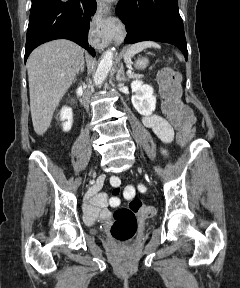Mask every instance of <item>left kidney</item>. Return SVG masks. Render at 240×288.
<instances>
[{
	"instance_id": "left-kidney-1",
	"label": "left kidney",
	"mask_w": 240,
	"mask_h": 288,
	"mask_svg": "<svg viewBox=\"0 0 240 288\" xmlns=\"http://www.w3.org/2000/svg\"><path fill=\"white\" fill-rule=\"evenodd\" d=\"M132 104L134 108L144 116L151 115L156 107V97L153 95L154 90L150 85L143 84L142 81L136 80L131 83Z\"/></svg>"
}]
</instances>
